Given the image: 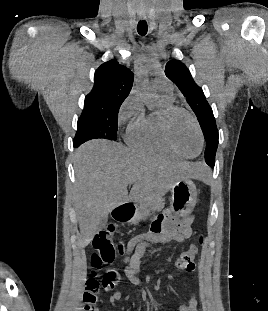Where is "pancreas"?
Wrapping results in <instances>:
<instances>
[{"mask_svg":"<svg viewBox=\"0 0 268 311\" xmlns=\"http://www.w3.org/2000/svg\"><path fill=\"white\" fill-rule=\"evenodd\" d=\"M164 201L162 199H153L147 202H143L138 207V212L136 217L133 219L132 223L137 224L143 217L160 210L164 207Z\"/></svg>","mask_w":268,"mask_h":311,"instance_id":"1","label":"pancreas"}]
</instances>
